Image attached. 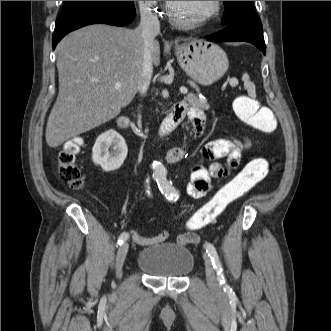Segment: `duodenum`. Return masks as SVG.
<instances>
[{"instance_id": "duodenum-1", "label": "duodenum", "mask_w": 331, "mask_h": 331, "mask_svg": "<svg viewBox=\"0 0 331 331\" xmlns=\"http://www.w3.org/2000/svg\"><path fill=\"white\" fill-rule=\"evenodd\" d=\"M183 118V110L180 107L175 106L173 110L169 113V115L166 117V119L163 121L159 129V137L163 138L170 134L178 126V124L182 121ZM127 123L128 120L125 116H119L117 118V124L120 127L126 126Z\"/></svg>"}]
</instances>
